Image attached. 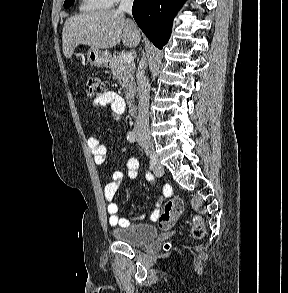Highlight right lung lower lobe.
I'll return each instance as SVG.
<instances>
[{
  "label": "right lung lower lobe",
  "mask_w": 288,
  "mask_h": 293,
  "mask_svg": "<svg viewBox=\"0 0 288 293\" xmlns=\"http://www.w3.org/2000/svg\"><path fill=\"white\" fill-rule=\"evenodd\" d=\"M185 0H134L132 14L144 34L159 49L168 42L173 18Z\"/></svg>",
  "instance_id": "98d812e1"
}]
</instances>
